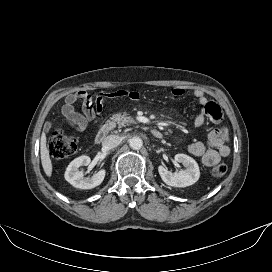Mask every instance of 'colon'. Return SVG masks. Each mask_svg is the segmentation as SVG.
<instances>
[{"label": "colon", "instance_id": "5ec220e1", "mask_svg": "<svg viewBox=\"0 0 272 272\" xmlns=\"http://www.w3.org/2000/svg\"><path fill=\"white\" fill-rule=\"evenodd\" d=\"M76 148V139L61 130L54 131L49 137L48 149L50 155L55 159H64L73 155ZM226 171V164L218 163L211 169V174L214 177H221Z\"/></svg>", "mask_w": 272, "mask_h": 272}]
</instances>
